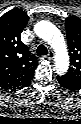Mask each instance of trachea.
Wrapping results in <instances>:
<instances>
[{
    "instance_id": "trachea-1",
    "label": "trachea",
    "mask_w": 81,
    "mask_h": 124,
    "mask_svg": "<svg viewBox=\"0 0 81 124\" xmlns=\"http://www.w3.org/2000/svg\"><path fill=\"white\" fill-rule=\"evenodd\" d=\"M37 56H42V55H47L48 50L45 45H39L37 50H36Z\"/></svg>"
}]
</instances>
